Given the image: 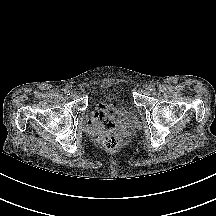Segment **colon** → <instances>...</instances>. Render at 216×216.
<instances>
[{"label": "colon", "mask_w": 216, "mask_h": 216, "mask_svg": "<svg viewBox=\"0 0 216 216\" xmlns=\"http://www.w3.org/2000/svg\"><path fill=\"white\" fill-rule=\"evenodd\" d=\"M103 146L108 151H116L123 145V139L118 134H110L103 139Z\"/></svg>", "instance_id": "obj_1"}]
</instances>
